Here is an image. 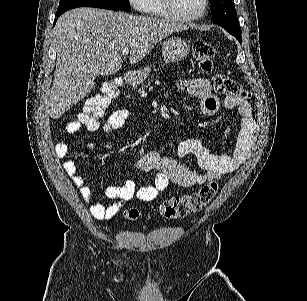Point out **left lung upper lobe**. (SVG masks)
Segmentation results:
<instances>
[{
  "label": "left lung upper lobe",
  "instance_id": "obj_1",
  "mask_svg": "<svg viewBox=\"0 0 307 301\" xmlns=\"http://www.w3.org/2000/svg\"><path fill=\"white\" fill-rule=\"evenodd\" d=\"M213 22L224 27L241 42V28L231 0H209Z\"/></svg>",
  "mask_w": 307,
  "mask_h": 301
}]
</instances>
